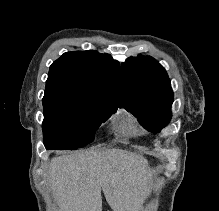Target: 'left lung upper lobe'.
<instances>
[{
    "instance_id": "obj_1",
    "label": "left lung upper lobe",
    "mask_w": 219,
    "mask_h": 211,
    "mask_svg": "<svg viewBox=\"0 0 219 211\" xmlns=\"http://www.w3.org/2000/svg\"><path fill=\"white\" fill-rule=\"evenodd\" d=\"M123 106L151 132L171 119L173 91L165 69L150 56L129 57L122 64Z\"/></svg>"
}]
</instances>
